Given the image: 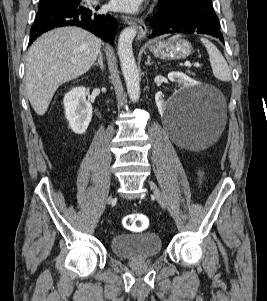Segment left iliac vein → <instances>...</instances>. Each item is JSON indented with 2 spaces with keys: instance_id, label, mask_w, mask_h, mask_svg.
I'll return each instance as SVG.
<instances>
[{
  "instance_id": "obj_1",
  "label": "left iliac vein",
  "mask_w": 267,
  "mask_h": 301,
  "mask_svg": "<svg viewBox=\"0 0 267 301\" xmlns=\"http://www.w3.org/2000/svg\"><path fill=\"white\" fill-rule=\"evenodd\" d=\"M148 184L154 194V196L156 197L157 201L159 202V204L164 208L166 209L167 207V204H166V201H165V198L162 194V192L159 190V188L157 187V185L151 181V180H148Z\"/></svg>"
}]
</instances>
